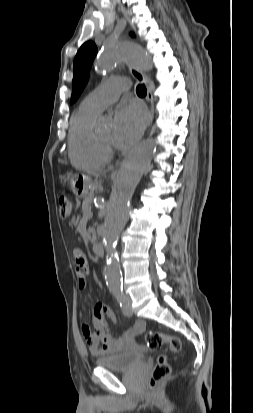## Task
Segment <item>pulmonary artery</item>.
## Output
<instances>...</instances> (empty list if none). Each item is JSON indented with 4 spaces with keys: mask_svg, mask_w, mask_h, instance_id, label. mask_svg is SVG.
I'll return each instance as SVG.
<instances>
[{
    "mask_svg": "<svg viewBox=\"0 0 253 413\" xmlns=\"http://www.w3.org/2000/svg\"><path fill=\"white\" fill-rule=\"evenodd\" d=\"M125 90L126 85L123 81L118 79L108 80L87 95L82 102V106L99 114L107 106L114 103Z\"/></svg>",
    "mask_w": 253,
    "mask_h": 413,
    "instance_id": "pulmonary-artery-1",
    "label": "pulmonary artery"
}]
</instances>
